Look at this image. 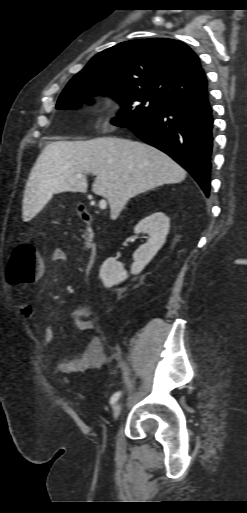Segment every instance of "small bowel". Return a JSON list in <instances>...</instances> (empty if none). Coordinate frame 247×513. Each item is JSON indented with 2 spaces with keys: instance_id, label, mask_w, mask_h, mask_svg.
<instances>
[{
  "instance_id": "c3829d8e",
  "label": "small bowel",
  "mask_w": 247,
  "mask_h": 513,
  "mask_svg": "<svg viewBox=\"0 0 247 513\" xmlns=\"http://www.w3.org/2000/svg\"><path fill=\"white\" fill-rule=\"evenodd\" d=\"M66 253L62 249H56L52 254L53 262L66 261ZM21 314L26 318H31L34 314L32 307L28 303H22ZM91 311L87 306L77 307L72 312L73 321L81 332H89L95 329L94 322L90 319ZM42 341L45 345L53 342L55 332L50 326L39 327ZM121 355V347L115 345L110 350V357L117 359ZM108 359V354L103 341L99 337H93L86 348L74 357H60L56 363L59 371L64 373H82L90 369L99 368Z\"/></svg>"
}]
</instances>
